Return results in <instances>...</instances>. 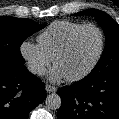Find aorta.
Instances as JSON below:
<instances>
[{
  "instance_id": "762f6f07",
  "label": "aorta",
  "mask_w": 119,
  "mask_h": 119,
  "mask_svg": "<svg viewBox=\"0 0 119 119\" xmlns=\"http://www.w3.org/2000/svg\"><path fill=\"white\" fill-rule=\"evenodd\" d=\"M61 98L58 94H49L45 99V104L48 109L57 110L61 106Z\"/></svg>"
}]
</instances>
